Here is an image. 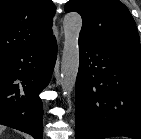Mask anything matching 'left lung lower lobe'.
Listing matches in <instances>:
<instances>
[{"instance_id": "0a47b994", "label": "left lung lower lobe", "mask_w": 141, "mask_h": 139, "mask_svg": "<svg viewBox=\"0 0 141 139\" xmlns=\"http://www.w3.org/2000/svg\"><path fill=\"white\" fill-rule=\"evenodd\" d=\"M76 139H141V54L79 37Z\"/></svg>"}]
</instances>
